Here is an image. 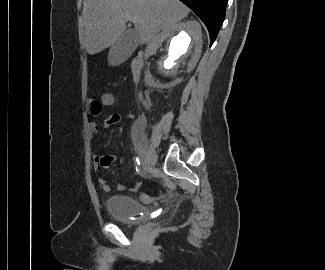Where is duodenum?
Listing matches in <instances>:
<instances>
[{"label": "duodenum", "mask_w": 325, "mask_h": 270, "mask_svg": "<svg viewBox=\"0 0 325 270\" xmlns=\"http://www.w3.org/2000/svg\"><path fill=\"white\" fill-rule=\"evenodd\" d=\"M143 67H144V60H143V56L141 53H139L132 61L131 64V70H132V74L134 77V80H137L142 71H143Z\"/></svg>", "instance_id": "1"}]
</instances>
